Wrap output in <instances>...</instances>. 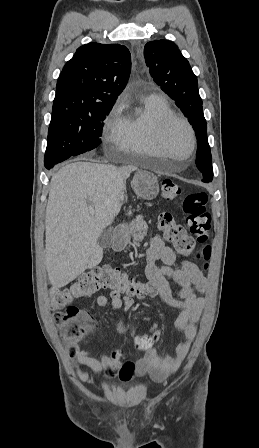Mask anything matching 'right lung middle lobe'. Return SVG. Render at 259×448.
<instances>
[{
    "label": "right lung middle lobe",
    "instance_id": "dd1d6c3e",
    "mask_svg": "<svg viewBox=\"0 0 259 448\" xmlns=\"http://www.w3.org/2000/svg\"><path fill=\"white\" fill-rule=\"evenodd\" d=\"M111 108H95L78 113H52L44 157L45 167L97 147L101 143L103 121Z\"/></svg>",
    "mask_w": 259,
    "mask_h": 448
}]
</instances>
